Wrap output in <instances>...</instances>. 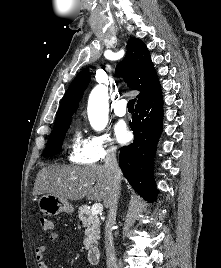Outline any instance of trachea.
<instances>
[{"label":"trachea","instance_id":"obj_1","mask_svg":"<svg viewBox=\"0 0 221 268\" xmlns=\"http://www.w3.org/2000/svg\"><path fill=\"white\" fill-rule=\"evenodd\" d=\"M136 102V99H131L129 100L128 104H127V107L129 110H134V104Z\"/></svg>","mask_w":221,"mask_h":268}]
</instances>
